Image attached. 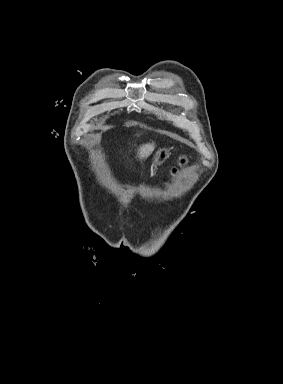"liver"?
<instances>
[{"label":"liver","mask_w":283,"mask_h":384,"mask_svg":"<svg viewBox=\"0 0 283 384\" xmlns=\"http://www.w3.org/2000/svg\"><path fill=\"white\" fill-rule=\"evenodd\" d=\"M154 148H155V144H144V146H141L139 150L140 160H145V158H148V156L152 154Z\"/></svg>","instance_id":"6515ba94"}]
</instances>
